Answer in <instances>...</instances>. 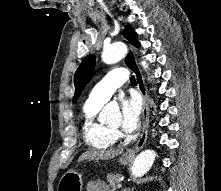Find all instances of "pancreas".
Listing matches in <instances>:
<instances>
[{"mask_svg": "<svg viewBox=\"0 0 221 191\" xmlns=\"http://www.w3.org/2000/svg\"><path fill=\"white\" fill-rule=\"evenodd\" d=\"M107 181L110 186H112L114 189L117 188V185L121 181V175L116 173V174H107Z\"/></svg>", "mask_w": 221, "mask_h": 191, "instance_id": "obj_1", "label": "pancreas"}]
</instances>
